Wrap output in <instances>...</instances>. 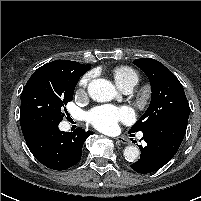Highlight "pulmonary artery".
Instances as JSON below:
<instances>
[{"mask_svg": "<svg viewBox=\"0 0 201 201\" xmlns=\"http://www.w3.org/2000/svg\"><path fill=\"white\" fill-rule=\"evenodd\" d=\"M133 89V86H127L124 89H122L125 93H130Z\"/></svg>", "mask_w": 201, "mask_h": 201, "instance_id": "1", "label": "pulmonary artery"}]
</instances>
